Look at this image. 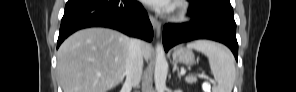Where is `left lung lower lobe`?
<instances>
[{"instance_id": "obj_1", "label": "left lung lower lobe", "mask_w": 296, "mask_h": 92, "mask_svg": "<svg viewBox=\"0 0 296 92\" xmlns=\"http://www.w3.org/2000/svg\"><path fill=\"white\" fill-rule=\"evenodd\" d=\"M189 15L192 17L190 22L164 26L163 44L166 51L182 42L210 39L228 46L237 60L236 23L231 4L192 3Z\"/></svg>"}]
</instances>
